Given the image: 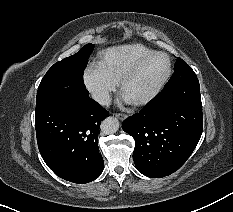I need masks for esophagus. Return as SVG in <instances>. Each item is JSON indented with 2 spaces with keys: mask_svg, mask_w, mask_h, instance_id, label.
<instances>
[{
  "mask_svg": "<svg viewBox=\"0 0 233 212\" xmlns=\"http://www.w3.org/2000/svg\"><path fill=\"white\" fill-rule=\"evenodd\" d=\"M116 117L120 120H125L127 118V115L123 113H117Z\"/></svg>",
  "mask_w": 233,
  "mask_h": 212,
  "instance_id": "esophagus-1",
  "label": "esophagus"
}]
</instances>
